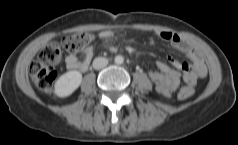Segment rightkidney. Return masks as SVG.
I'll use <instances>...</instances> for the list:
<instances>
[{
  "label": "right kidney",
  "mask_w": 238,
  "mask_h": 145,
  "mask_svg": "<svg viewBox=\"0 0 238 145\" xmlns=\"http://www.w3.org/2000/svg\"><path fill=\"white\" fill-rule=\"evenodd\" d=\"M81 82L82 74L79 71H69L61 75L55 82V94L59 97H67L80 86Z\"/></svg>",
  "instance_id": "obj_1"
}]
</instances>
